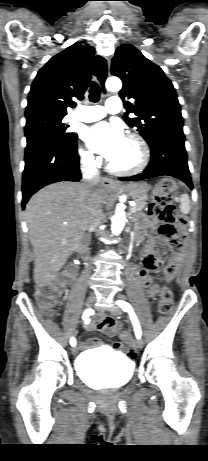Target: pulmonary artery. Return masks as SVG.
Here are the masks:
<instances>
[{
    "instance_id": "obj_1",
    "label": "pulmonary artery",
    "mask_w": 208,
    "mask_h": 461,
    "mask_svg": "<svg viewBox=\"0 0 208 461\" xmlns=\"http://www.w3.org/2000/svg\"><path fill=\"white\" fill-rule=\"evenodd\" d=\"M122 108L121 100L118 97H110L106 101L105 106H82L72 118L83 122H94L103 118L106 113H118Z\"/></svg>"
}]
</instances>
